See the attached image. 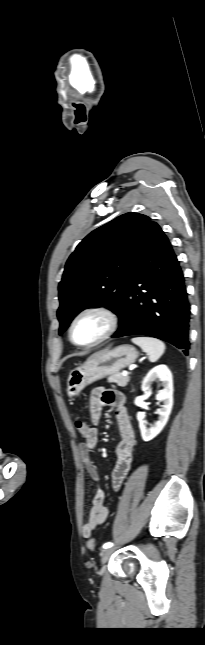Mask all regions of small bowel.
<instances>
[{
    "instance_id": "c3829d8e",
    "label": "small bowel",
    "mask_w": 205,
    "mask_h": 645,
    "mask_svg": "<svg viewBox=\"0 0 205 645\" xmlns=\"http://www.w3.org/2000/svg\"><path fill=\"white\" fill-rule=\"evenodd\" d=\"M104 406L116 408V419L119 425L121 440L116 446L117 460L112 472V487L118 490L130 470L136 444L135 431L130 421V417L125 407L124 395L115 390L105 389L103 387L95 388L89 399V412L93 427L89 429V435L85 442L78 445L79 457L92 479H98V469L91 458V451L98 443L97 425L101 418V412ZM108 517V508L105 505V492L102 488L95 489L92 506L87 522L83 525L82 534L85 538H90L95 529L102 525Z\"/></svg>"
}]
</instances>
